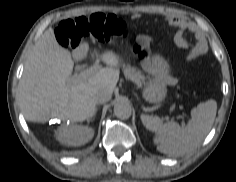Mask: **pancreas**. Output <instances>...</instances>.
<instances>
[{"label":"pancreas","instance_id":"1","mask_svg":"<svg viewBox=\"0 0 236 182\" xmlns=\"http://www.w3.org/2000/svg\"><path fill=\"white\" fill-rule=\"evenodd\" d=\"M124 75L127 79L133 81L137 85H140L145 81V76L142 74V72L136 70L135 68H125Z\"/></svg>","mask_w":236,"mask_h":182}]
</instances>
